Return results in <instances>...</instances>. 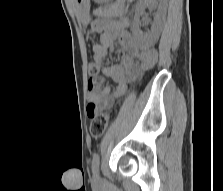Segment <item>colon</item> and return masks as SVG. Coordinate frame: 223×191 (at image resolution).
I'll return each instance as SVG.
<instances>
[{
  "mask_svg": "<svg viewBox=\"0 0 223 191\" xmlns=\"http://www.w3.org/2000/svg\"><path fill=\"white\" fill-rule=\"evenodd\" d=\"M88 72L91 79L96 78L99 73L98 64L96 62L89 63ZM95 111H96L95 108L93 107L89 108V112L91 113V115H93L90 126V132L93 137L98 138L105 133L111 119V114L108 112H101L95 114Z\"/></svg>",
  "mask_w": 223,
  "mask_h": 191,
  "instance_id": "colon-1",
  "label": "colon"
}]
</instances>
